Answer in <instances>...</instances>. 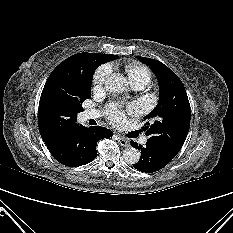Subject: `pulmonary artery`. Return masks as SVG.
<instances>
[{"mask_svg":"<svg viewBox=\"0 0 233 233\" xmlns=\"http://www.w3.org/2000/svg\"><path fill=\"white\" fill-rule=\"evenodd\" d=\"M132 87L134 90H141L144 87V84L142 83H132ZM100 116L99 112L96 110H87L83 113V119L89 120V119H95ZM141 142L144 144L147 142V138L143 137Z\"/></svg>","mask_w":233,"mask_h":233,"instance_id":"obj_1","label":"pulmonary artery"}]
</instances>
